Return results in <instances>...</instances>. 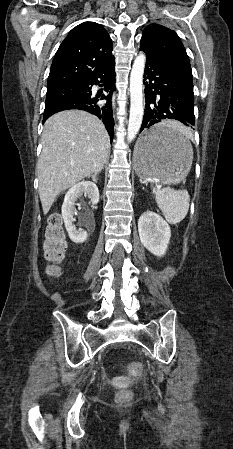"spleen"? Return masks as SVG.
Here are the masks:
<instances>
[{"instance_id": "spleen-1", "label": "spleen", "mask_w": 233, "mask_h": 449, "mask_svg": "<svg viewBox=\"0 0 233 449\" xmlns=\"http://www.w3.org/2000/svg\"><path fill=\"white\" fill-rule=\"evenodd\" d=\"M169 126L187 135L183 127ZM152 190L158 207L170 224H177L186 217L189 210V195L186 190H175L170 187L160 189L158 186L152 187Z\"/></svg>"}]
</instances>
